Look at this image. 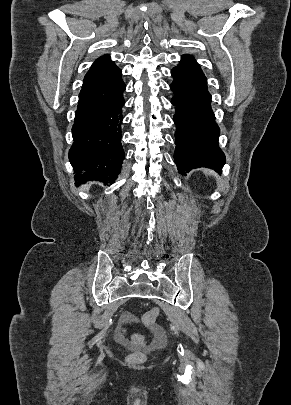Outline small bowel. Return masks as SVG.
I'll return each instance as SVG.
<instances>
[{"label":"small bowel","mask_w":291,"mask_h":405,"mask_svg":"<svg viewBox=\"0 0 291 405\" xmlns=\"http://www.w3.org/2000/svg\"><path fill=\"white\" fill-rule=\"evenodd\" d=\"M134 320V317L131 313L129 312H124L121 316V322L122 324H129L132 323Z\"/></svg>","instance_id":"c3829d8e"}]
</instances>
